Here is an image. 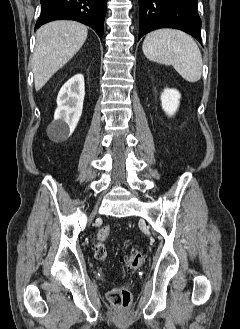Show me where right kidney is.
Returning a JSON list of instances; mask_svg holds the SVG:
<instances>
[{
  "label": "right kidney",
  "instance_id": "ca27d5eb",
  "mask_svg": "<svg viewBox=\"0 0 240 329\" xmlns=\"http://www.w3.org/2000/svg\"><path fill=\"white\" fill-rule=\"evenodd\" d=\"M84 96L82 74L73 76L62 86L57 96L54 120L48 126L53 137L65 139L73 133L82 114Z\"/></svg>",
  "mask_w": 240,
  "mask_h": 329
}]
</instances>
